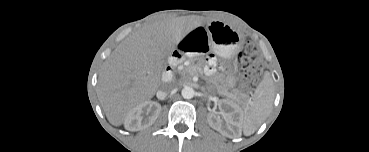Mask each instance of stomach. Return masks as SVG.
I'll use <instances>...</instances> for the list:
<instances>
[{"instance_id": "1", "label": "stomach", "mask_w": 369, "mask_h": 152, "mask_svg": "<svg viewBox=\"0 0 369 152\" xmlns=\"http://www.w3.org/2000/svg\"><path fill=\"white\" fill-rule=\"evenodd\" d=\"M206 33L212 50L224 59H230L243 40L239 32L219 21L209 24ZM228 81L231 86L234 84L233 77H229Z\"/></svg>"}]
</instances>
